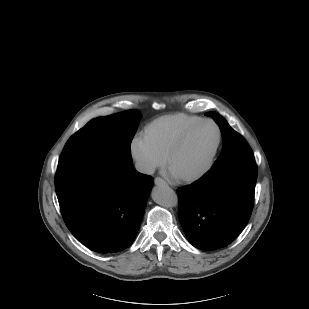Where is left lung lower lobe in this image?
Returning a JSON list of instances; mask_svg holds the SVG:
<instances>
[{
    "mask_svg": "<svg viewBox=\"0 0 309 309\" xmlns=\"http://www.w3.org/2000/svg\"><path fill=\"white\" fill-rule=\"evenodd\" d=\"M256 178L257 166L250 153L179 188V219L189 243L203 250L230 244L251 216Z\"/></svg>",
    "mask_w": 309,
    "mask_h": 309,
    "instance_id": "left-lung-lower-lobe-1",
    "label": "left lung lower lobe"
}]
</instances>
